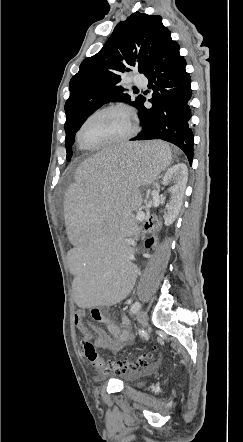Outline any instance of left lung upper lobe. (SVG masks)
<instances>
[{"mask_svg":"<svg viewBox=\"0 0 243 442\" xmlns=\"http://www.w3.org/2000/svg\"><path fill=\"white\" fill-rule=\"evenodd\" d=\"M170 31L160 16L135 12L114 29L103 48L86 58L69 83L70 97L65 104L67 160L72 156L74 137L83 122L104 103L124 101L139 109L144 97L135 101L119 85L124 73H145Z\"/></svg>","mask_w":243,"mask_h":442,"instance_id":"obj_1","label":"left lung upper lobe"}]
</instances>
